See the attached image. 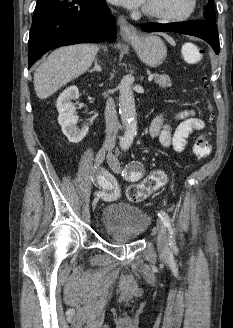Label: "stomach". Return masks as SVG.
I'll return each instance as SVG.
<instances>
[{
    "label": "stomach",
    "instance_id": "1",
    "mask_svg": "<svg viewBox=\"0 0 233 328\" xmlns=\"http://www.w3.org/2000/svg\"><path fill=\"white\" fill-rule=\"evenodd\" d=\"M128 41L141 61L148 66L157 67L161 65L167 56L166 46L157 35H139L135 38H129Z\"/></svg>",
    "mask_w": 233,
    "mask_h": 328
}]
</instances>
